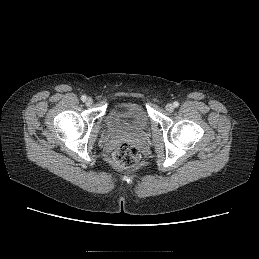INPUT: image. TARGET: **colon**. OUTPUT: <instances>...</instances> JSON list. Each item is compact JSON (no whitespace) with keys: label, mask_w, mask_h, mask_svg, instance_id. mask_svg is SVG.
<instances>
[{"label":"colon","mask_w":259,"mask_h":259,"mask_svg":"<svg viewBox=\"0 0 259 259\" xmlns=\"http://www.w3.org/2000/svg\"><path fill=\"white\" fill-rule=\"evenodd\" d=\"M140 158V151L137 146L124 142L113 152V161L116 166L122 169L133 168Z\"/></svg>","instance_id":"colon-1"}]
</instances>
